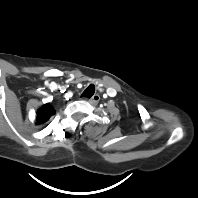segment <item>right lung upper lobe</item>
Masks as SVG:
<instances>
[{
  "label": "right lung upper lobe",
  "mask_w": 198,
  "mask_h": 198,
  "mask_svg": "<svg viewBox=\"0 0 198 198\" xmlns=\"http://www.w3.org/2000/svg\"><path fill=\"white\" fill-rule=\"evenodd\" d=\"M55 114V110L52 108L50 103L44 104L37 111V124L45 123L49 118Z\"/></svg>",
  "instance_id": "1"
}]
</instances>
